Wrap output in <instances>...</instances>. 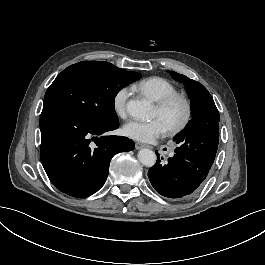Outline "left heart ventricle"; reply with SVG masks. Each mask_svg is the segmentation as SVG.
<instances>
[{
  "label": "left heart ventricle",
  "mask_w": 265,
  "mask_h": 265,
  "mask_svg": "<svg viewBox=\"0 0 265 265\" xmlns=\"http://www.w3.org/2000/svg\"><path fill=\"white\" fill-rule=\"evenodd\" d=\"M183 107L180 104L172 105L169 110L164 115H159L157 109H155L154 116L162 120L165 126L171 125L174 126L178 124L183 117Z\"/></svg>",
  "instance_id": "obj_1"
}]
</instances>
